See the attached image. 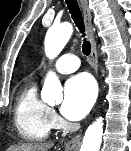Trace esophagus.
<instances>
[{
  "mask_svg": "<svg viewBox=\"0 0 131 151\" xmlns=\"http://www.w3.org/2000/svg\"><path fill=\"white\" fill-rule=\"evenodd\" d=\"M80 3H81V7L83 10V14H84V21H85V25H86L88 38L91 43V64L94 69L95 76H97L98 56H97V49H96V41H95V37H94V28H93L92 21H91V19H92L91 11L88 7V0H80ZM80 141H81V134H77L76 136H74L72 139H70L67 142L66 147L72 149V148L76 147L77 145H79Z\"/></svg>",
  "mask_w": 131,
  "mask_h": 151,
  "instance_id": "esophagus-1",
  "label": "esophagus"
}]
</instances>
